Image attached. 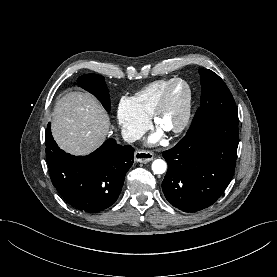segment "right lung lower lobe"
Returning a JSON list of instances; mask_svg holds the SVG:
<instances>
[{
  "label": "right lung lower lobe",
  "mask_w": 277,
  "mask_h": 277,
  "mask_svg": "<svg viewBox=\"0 0 277 277\" xmlns=\"http://www.w3.org/2000/svg\"><path fill=\"white\" fill-rule=\"evenodd\" d=\"M45 137L52 183L69 205L86 213H98L115 203L133 164L134 148L108 139L90 155L76 157L58 147L50 124Z\"/></svg>",
  "instance_id": "1"
}]
</instances>
